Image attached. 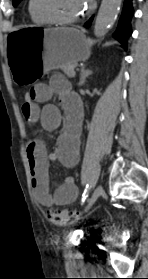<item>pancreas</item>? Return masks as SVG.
I'll return each instance as SVG.
<instances>
[{"mask_svg": "<svg viewBox=\"0 0 148 279\" xmlns=\"http://www.w3.org/2000/svg\"><path fill=\"white\" fill-rule=\"evenodd\" d=\"M77 63H65L60 66V68L63 70V72L69 77L74 78L76 76V73L74 71V68L76 67Z\"/></svg>", "mask_w": 148, "mask_h": 279, "instance_id": "1", "label": "pancreas"}]
</instances>
